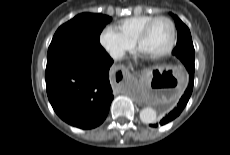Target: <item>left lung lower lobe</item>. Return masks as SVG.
<instances>
[{"label": "left lung lower lobe", "instance_id": "obj_1", "mask_svg": "<svg viewBox=\"0 0 230 155\" xmlns=\"http://www.w3.org/2000/svg\"><path fill=\"white\" fill-rule=\"evenodd\" d=\"M179 59L182 61L184 66L186 67L188 73H189V83L188 86L183 93L182 97L180 98L179 102L175 106V108L168 114L166 115L160 122V125L167 124L168 122L172 121L175 119L177 116L180 115L184 107L186 106L192 90H193V84H194V70H195V65H194V60H190L186 56H179ZM158 123L156 124H151V127H157L159 125Z\"/></svg>", "mask_w": 230, "mask_h": 155}]
</instances>
